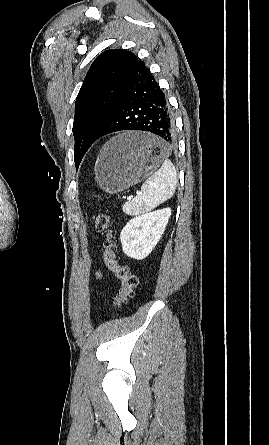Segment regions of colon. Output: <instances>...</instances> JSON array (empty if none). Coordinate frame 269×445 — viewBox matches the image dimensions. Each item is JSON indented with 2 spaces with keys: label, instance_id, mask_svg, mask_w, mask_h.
I'll list each match as a JSON object with an SVG mask.
<instances>
[{
  "label": "colon",
  "instance_id": "colon-1",
  "mask_svg": "<svg viewBox=\"0 0 269 445\" xmlns=\"http://www.w3.org/2000/svg\"><path fill=\"white\" fill-rule=\"evenodd\" d=\"M93 221L96 230L107 233L103 243L102 260L119 285L118 292L112 300V306L121 307L133 297L138 279L128 265L120 264L118 261L115 241L111 233V218L106 214L96 213L93 215Z\"/></svg>",
  "mask_w": 269,
  "mask_h": 445
}]
</instances>
